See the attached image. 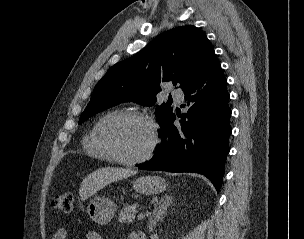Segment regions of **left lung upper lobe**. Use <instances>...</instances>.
<instances>
[{"label":"left lung upper lobe","instance_id":"left-lung-upper-lobe-1","mask_svg":"<svg viewBox=\"0 0 304 239\" xmlns=\"http://www.w3.org/2000/svg\"><path fill=\"white\" fill-rule=\"evenodd\" d=\"M214 54L213 46L195 26H181L160 34L134 56L113 65L94 88L79 124L123 102L153 105L160 84L172 82L185 91L199 77ZM160 126L172 115L165 103L156 106Z\"/></svg>","mask_w":304,"mask_h":239}]
</instances>
